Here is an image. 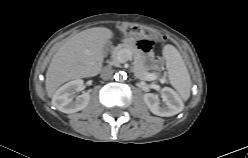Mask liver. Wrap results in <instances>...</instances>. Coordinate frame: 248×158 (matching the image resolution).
<instances>
[{"instance_id": "obj_1", "label": "liver", "mask_w": 248, "mask_h": 158, "mask_svg": "<svg viewBox=\"0 0 248 158\" xmlns=\"http://www.w3.org/2000/svg\"><path fill=\"white\" fill-rule=\"evenodd\" d=\"M113 38L107 28L95 27L67 38L52 58L46 73V90L50 96L64 82L93 75L101 66L105 42Z\"/></svg>"}]
</instances>
